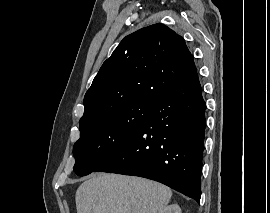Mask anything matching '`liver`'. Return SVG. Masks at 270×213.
Segmentation results:
<instances>
[{
	"instance_id": "1",
	"label": "liver",
	"mask_w": 270,
	"mask_h": 213,
	"mask_svg": "<svg viewBox=\"0 0 270 213\" xmlns=\"http://www.w3.org/2000/svg\"><path fill=\"white\" fill-rule=\"evenodd\" d=\"M172 191L157 182L117 174H97L75 195L77 213H159Z\"/></svg>"
}]
</instances>
